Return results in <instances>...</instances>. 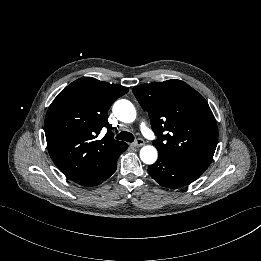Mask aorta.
Returning a JSON list of instances; mask_svg holds the SVG:
<instances>
[{
	"label": "aorta",
	"instance_id": "1",
	"mask_svg": "<svg viewBox=\"0 0 261 261\" xmlns=\"http://www.w3.org/2000/svg\"><path fill=\"white\" fill-rule=\"evenodd\" d=\"M114 115L122 122L131 123L136 119V110L133 104L125 99L115 102L113 105ZM158 157L157 150L154 146L147 145L141 148L140 158L145 164H153Z\"/></svg>",
	"mask_w": 261,
	"mask_h": 261
}]
</instances>
